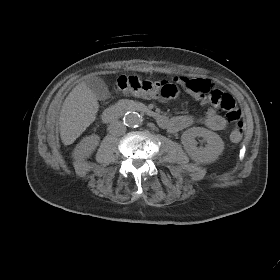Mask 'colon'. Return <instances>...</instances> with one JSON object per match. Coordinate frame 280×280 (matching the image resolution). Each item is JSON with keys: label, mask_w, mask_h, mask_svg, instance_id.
<instances>
[{"label": "colon", "mask_w": 280, "mask_h": 280, "mask_svg": "<svg viewBox=\"0 0 280 280\" xmlns=\"http://www.w3.org/2000/svg\"><path fill=\"white\" fill-rule=\"evenodd\" d=\"M114 90L127 95H138L147 98H158L161 100L172 99L178 95L179 88L176 83L168 81H155L143 79L137 76H120L114 83ZM209 101L226 111V120L234 122L230 132V139L234 142L241 140L244 133V126L240 121L241 111L236 106L234 98L219 90L208 88Z\"/></svg>", "instance_id": "5ec220e1"}]
</instances>
